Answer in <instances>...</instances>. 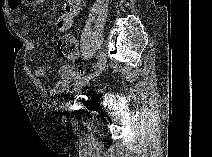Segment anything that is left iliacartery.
I'll return each instance as SVG.
<instances>
[{"label": "left iliac artery", "instance_id": "1", "mask_svg": "<svg viewBox=\"0 0 212 157\" xmlns=\"http://www.w3.org/2000/svg\"><path fill=\"white\" fill-rule=\"evenodd\" d=\"M107 62V55L104 50H100L99 56H98V62H97V70H101L106 66ZM94 75V73H87L85 75L80 76L76 81L75 84L81 83L82 81H85L87 79H90ZM97 75V72H96Z\"/></svg>", "mask_w": 212, "mask_h": 157}]
</instances>
